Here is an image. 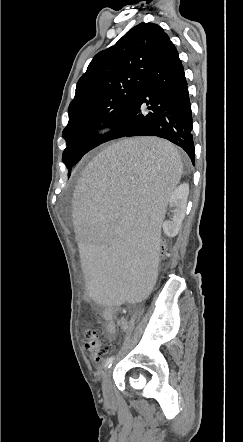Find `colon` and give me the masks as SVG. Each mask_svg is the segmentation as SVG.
Returning <instances> with one entry per match:
<instances>
[{
	"label": "colon",
	"mask_w": 243,
	"mask_h": 442,
	"mask_svg": "<svg viewBox=\"0 0 243 442\" xmlns=\"http://www.w3.org/2000/svg\"><path fill=\"white\" fill-rule=\"evenodd\" d=\"M169 235L166 232H162L159 235V241L161 243V250L158 251L157 256L160 259H164L167 256L169 248L166 246ZM84 346L90 357L94 361H100L108 353V347L101 341L99 331L96 328H89L85 332Z\"/></svg>",
	"instance_id": "obj_1"
}]
</instances>
